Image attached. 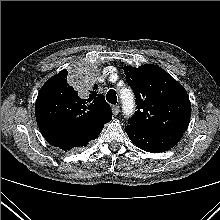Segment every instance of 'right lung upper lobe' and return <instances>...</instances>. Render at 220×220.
I'll return each mask as SVG.
<instances>
[{
    "mask_svg": "<svg viewBox=\"0 0 220 220\" xmlns=\"http://www.w3.org/2000/svg\"><path fill=\"white\" fill-rule=\"evenodd\" d=\"M67 70L51 77L40 89L35 104L39 129L51 145L83 135L112 119L110 105L94 85L84 98L68 83Z\"/></svg>",
    "mask_w": 220,
    "mask_h": 220,
    "instance_id": "cb5924a9",
    "label": "right lung upper lobe"
}]
</instances>
